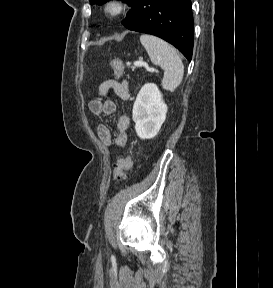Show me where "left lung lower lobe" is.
Instances as JSON below:
<instances>
[{
	"mask_svg": "<svg viewBox=\"0 0 273 288\" xmlns=\"http://www.w3.org/2000/svg\"><path fill=\"white\" fill-rule=\"evenodd\" d=\"M122 24L129 30L164 39L191 60L194 40L191 0H135Z\"/></svg>",
	"mask_w": 273,
	"mask_h": 288,
	"instance_id": "left-lung-lower-lobe-1",
	"label": "left lung lower lobe"
}]
</instances>
